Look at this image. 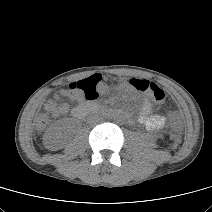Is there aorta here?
<instances>
[{"instance_id": "aorta-1", "label": "aorta", "mask_w": 212, "mask_h": 212, "mask_svg": "<svg viewBox=\"0 0 212 212\" xmlns=\"http://www.w3.org/2000/svg\"><path fill=\"white\" fill-rule=\"evenodd\" d=\"M114 120H115L116 122H120V121L122 120V116L118 113V114H116V115L114 116Z\"/></svg>"}]
</instances>
